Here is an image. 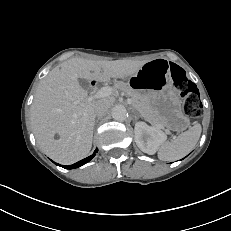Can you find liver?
Listing matches in <instances>:
<instances>
[{"mask_svg":"<svg viewBox=\"0 0 231 231\" xmlns=\"http://www.w3.org/2000/svg\"><path fill=\"white\" fill-rule=\"evenodd\" d=\"M146 62L94 61L72 58L53 68L40 82L31 106V122L39 148L61 164L85 158L92 147L95 106L109 107L112 97L85 101L87 94L78 79L109 81L134 75ZM59 139H54L55 135Z\"/></svg>","mask_w":231,"mask_h":231,"instance_id":"1","label":"liver"}]
</instances>
